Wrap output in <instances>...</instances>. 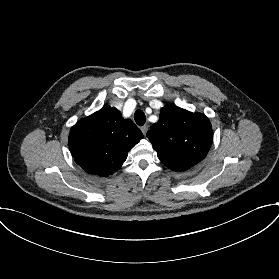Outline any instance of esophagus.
<instances>
[{
  "label": "esophagus",
  "mask_w": 279,
  "mask_h": 279,
  "mask_svg": "<svg viewBox=\"0 0 279 279\" xmlns=\"http://www.w3.org/2000/svg\"><path fill=\"white\" fill-rule=\"evenodd\" d=\"M140 130L142 131L143 135H146V132L148 130V125H144L140 128Z\"/></svg>",
  "instance_id": "1"
}]
</instances>
